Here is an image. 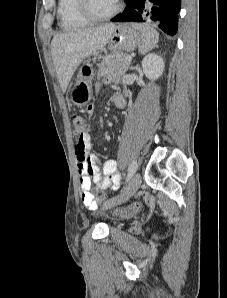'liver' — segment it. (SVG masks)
<instances>
[{"instance_id": "1", "label": "liver", "mask_w": 227, "mask_h": 298, "mask_svg": "<svg viewBox=\"0 0 227 298\" xmlns=\"http://www.w3.org/2000/svg\"><path fill=\"white\" fill-rule=\"evenodd\" d=\"M114 24L68 31L54 36L51 54L63 93L83 60L102 49L110 40Z\"/></svg>"}]
</instances>
